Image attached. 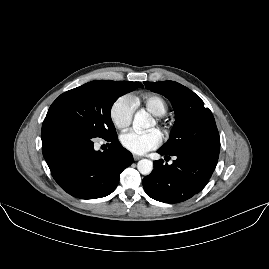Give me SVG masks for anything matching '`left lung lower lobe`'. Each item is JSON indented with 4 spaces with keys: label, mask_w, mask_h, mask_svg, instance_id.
Instances as JSON below:
<instances>
[{
    "label": "left lung lower lobe",
    "mask_w": 269,
    "mask_h": 269,
    "mask_svg": "<svg viewBox=\"0 0 269 269\" xmlns=\"http://www.w3.org/2000/svg\"><path fill=\"white\" fill-rule=\"evenodd\" d=\"M165 160L175 156L172 164L163 159L154 162L153 172L143 179L148 196L165 203H179L199 193L208 183L218 158L160 148L157 151Z\"/></svg>",
    "instance_id": "left-lung-lower-lobe-1"
}]
</instances>
